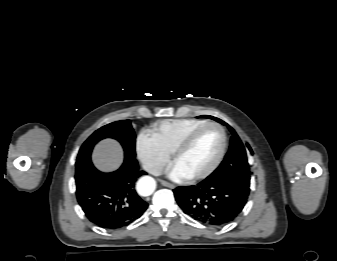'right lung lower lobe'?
I'll return each instance as SVG.
<instances>
[{
    "instance_id": "1",
    "label": "right lung lower lobe",
    "mask_w": 337,
    "mask_h": 261,
    "mask_svg": "<svg viewBox=\"0 0 337 261\" xmlns=\"http://www.w3.org/2000/svg\"><path fill=\"white\" fill-rule=\"evenodd\" d=\"M140 171L134 156L125 154L124 163L114 172L97 170L91 160L76 167V196L89 220L105 229H118L138 219L147 209L135 190Z\"/></svg>"
}]
</instances>
